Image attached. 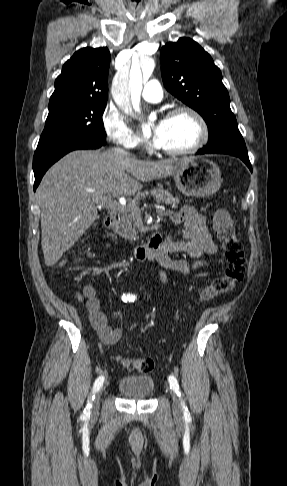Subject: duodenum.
<instances>
[{"label":"duodenum","mask_w":287,"mask_h":486,"mask_svg":"<svg viewBox=\"0 0 287 486\" xmlns=\"http://www.w3.org/2000/svg\"><path fill=\"white\" fill-rule=\"evenodd\" d=\"M116 223L114 212H108L104 218V226L108 230H113ZM162 245V236L159 232L154 233L149 241L142 245L131 248L133 256L138 260H146L155 255Z\"/></svg>","instance_id":"obj_1"}]
</instances>
